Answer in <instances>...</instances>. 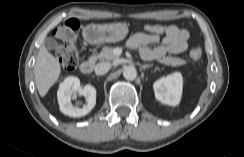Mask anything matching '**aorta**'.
Wrapping results in <instances>:
<instances>
[{
    "mask_svg": "<svg viewBox=\"0 0 244 157\" xmlns=\"http://www.w3.org/2000/svg\"><path fill=\"white\" fill-rule=\"evenodd\" d=\"M123 76L126 80L132 81L137 76V70L133 66H127L124 68Z\"/></svg>",
    "mask_w": 244,
    "mask_h": 157,
    "instance_id": "aorta-1",
    "label": "aorta"
}]
</instances>
